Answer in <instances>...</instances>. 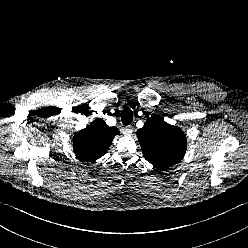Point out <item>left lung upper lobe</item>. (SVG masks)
Returning <instances> with one entry per match:
<instances>
[{"instance_id":"1","label":"left lung upper lobe","mask_w":248,"mask_h":248,"mask_svg":"<svg viewBox=\"0 0 248 248\" xmlns=\"http://www.w3.org/2000/svg\"><path fill=\"white\" fill-rule=\"evenodd\" d=\"M137 137L144 158L156 168L176 164L186 152L187 140L183 131L160 116L148 118L137 131Z\"/></svg>"}]
</instances>
